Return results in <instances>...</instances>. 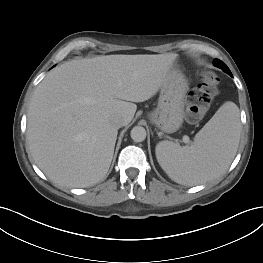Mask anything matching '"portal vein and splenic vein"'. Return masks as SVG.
I'll use <instances>...</instances> for the list:
<instances>
[{
    "label": "portal vein and splenic vein",
    "instance_id": "portal-vein-and-splenic-vein-1",
    "mask_svg": "<svg viewBox=\"0 0 263 263\" xmlns=\"http://www.w3.org/2000/svg\"><path fill=\"white\" fill-rule=\"evenodd\" d=\"M183 141L185 143H188L190 140H189V137L188 136H183Z\"/></svg>",
    "mask_w": 263,
    "mask_h": 263
}]
</instances>
